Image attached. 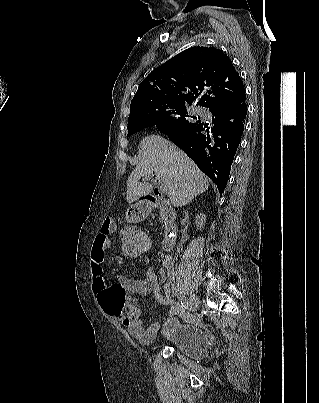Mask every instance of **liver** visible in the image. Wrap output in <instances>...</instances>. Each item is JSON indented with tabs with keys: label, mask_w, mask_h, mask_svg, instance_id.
Here are the masks:
<instances>
[{
	"label": "liver",
	"mask_w": 319,
	"mask_h": 403,
	"mask_svg": "<svg viewBox=\"0 0 319 403\" xmlns=\"http://www.w3.org/2000/svg\"><path fill=\"white\" fill-rule=\"evenodd\" d=\"M139 163L127 180L126 200L129 204L147 196L153 184L140 182L155 173L167 186V196L175 207L187 205L205 192L209 180L196 164L177 146L159 135L143 138L139 144Z\"/></svg>",
	"instance_id": "6515ba94"
}]
</instances>
